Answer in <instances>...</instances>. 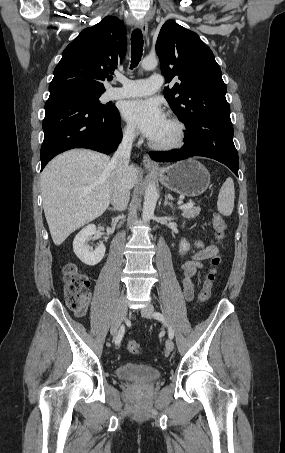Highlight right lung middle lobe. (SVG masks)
Returning <instances> with one entry per match:
<instances>
[{"instance_id": "dd1d6c3e", "label": "right lung middle lobe", "mask_w": 285, "mask_h": 453, "mask_svg": "<svg viewBox=\"0 0 285 453\" xmlns=\"http://www.w3.org/2000/svg\"><path fill=\"white\" fill-rule=\"evenodd\" d=\"M78 98L85 102L96 112H110L115 109V106L103 105L99 101L102 93H93L86 91H72Z\"/></svg>"}]
</instances>
